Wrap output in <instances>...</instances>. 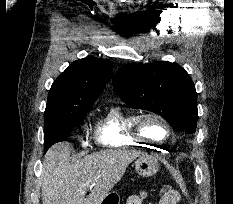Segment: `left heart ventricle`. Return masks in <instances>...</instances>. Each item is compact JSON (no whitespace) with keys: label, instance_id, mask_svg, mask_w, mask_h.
<instances>
[{"label":"left heart ventricle","instance_id":"1","mask_svg":"<svg viewBox=\"0 0 233 204\" xmlns=\"http://www.w3.org/2000/svg\"><path fill=\"white\" fill-rule=\"evenodd\" d=\"M144 130L149 136L157 139H162L166 135V130L163 124L153 119L145 121Z\"/></svg>","mask_w":233,"mask_h":204}]
</instances>
